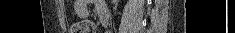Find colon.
Listing matches in <instances>:
<instances>
[{
    "instance_id": "5ec220e1",
    "label": "colon",
    "mask_w": 235,
    "mask_h": 33,
    "mask_svg": "<svg viewBox=\"0 0 235 33\" xmlns=\"http://www.w3.org/2000/svg\"><path fill=\"white\" fill-rule=\"evenodd\" d=\"M72 33H94V26L92 22L82 20L72 26Z\"/></svg>"
}]
</instances>
